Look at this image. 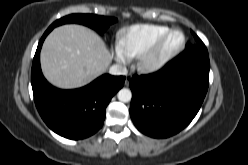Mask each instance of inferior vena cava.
Segmentation results:
<instances>
[{
    "instance_id": "obj_1",
    "label": "inferior vena cava",
    "mask_w": 248,
    "mask_h": 165,
    "mask_svg": "<svg viewBox=\"0 0 248 165\" xmlns=\"http://www.w3.org/2000/svg\"><path fill=\"white\" fill-rule=\"evenodd\" d=\"M111 75H127L128 71L125 66L122 65H112L109 69Z\"/></svg>"
}]
</instances>
